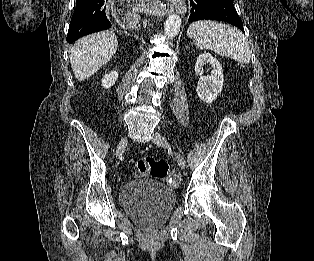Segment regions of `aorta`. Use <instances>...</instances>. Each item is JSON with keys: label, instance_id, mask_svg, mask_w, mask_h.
Wrapping results in <instances>:
<instances>
[{"label": "aorta", "instance_id": "aorta-1", "mask_svg": "<svg viewBox=\"0 0 314 261\" xmlns=\"http://www.w3.org/2000/svg\"><path fill=\"white\" fill-rule=\"evenodd\" d=\"M181 27V18L178 14H171L165 21L164 31L166 36L174 38L177 36Z\"/></svg>", "mask_w": 314, "mask_h": 261}]
</instances>
